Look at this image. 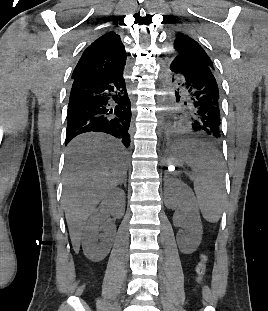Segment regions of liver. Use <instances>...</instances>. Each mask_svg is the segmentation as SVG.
I'll use <instances>...</instances> for the list:
<instances>
[{
  "mask_svg": "<svg viewBox=\"0 0 268 311\" xmlns=\"http://www.w3.org/2000/svg\"><path fill=\"white\" fill-rule=\"evenodd\" d=\"M127 167L122 145L109 137L87 134L71 142L63 178V205L76 253L87 218L126 177Z\"/></svg>",
  "mask_w": 268,
  "mask_h": 311,
  "instance_id": "6515ba94",
  "label": "liver"
}]
</instances>
